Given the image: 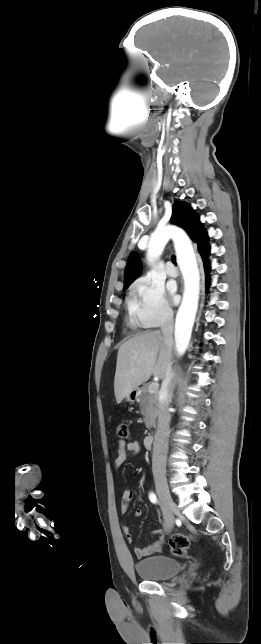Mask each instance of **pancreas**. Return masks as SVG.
Returning <instances> with one entry per match:
<instances>
[{"label":"pancreas","instance_id":"obj_1","mask_svg":"<svg viewBox=\"0 0 261 644\" xmlns=\"http://www.w3.org/2000/svg\"><path fill=\"white\" fill-rule=\"evenodd\" d=\"M148 386L142 388L140 395V410L148 429L155 426L158 414V393H150Z\"/></svg>","mask_w":261,"mask_h":644}]
</instances>
